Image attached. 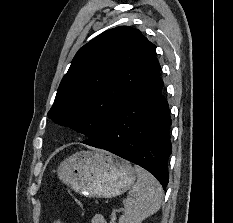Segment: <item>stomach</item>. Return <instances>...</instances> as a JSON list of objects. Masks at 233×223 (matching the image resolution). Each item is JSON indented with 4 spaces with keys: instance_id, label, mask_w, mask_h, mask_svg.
<instances>
[{
    "instance_id": "stomach-1",
    "label": "stomach",
    "mask_w": 233,
    "mask_h": 223,
    "mask_svg": "<svg viewBox=\"0 0 233 223\" xmlns=\"http://www.w3.org/2000/svg\"><path fill=\"white\" fill-rule=\"evenodd\" d=\"M60 179L86 197H116L133 185L135 167L108 151H77L62 161Z\"/></svg>"
}]
</instances>
